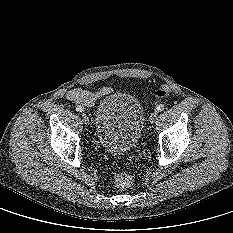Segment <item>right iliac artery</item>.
<instances>
[{
  "label": "right iliac artery",
  "mask_w": 233,
  "mask_h": 233,
  "mask_svg": "<svg viewBox=\"0 0 233 233\" xmlns=\"http://www.w3.org/2000/svg\"><path fill=\"white\" fill-rule=\"evenodd\" d=\"M83 109H84V108H83L82 106H77V107H76V111H78V112L84 111Z\"/></svg>",
  "instance_id": "1"
}]
</instances>
